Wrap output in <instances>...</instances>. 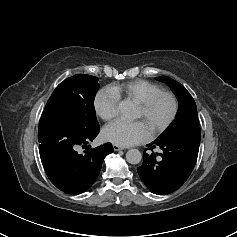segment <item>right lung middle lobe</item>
I'll use <instances>...</instances> for the list:
<instances>
[{"instance_id": "right-lung-middle-lobe-1", "label": "right lung middle lobe", "mask_w": 237, "mask_h": 237, "mask_svg": "<svg viewBox=\"0 0 237 237\" xmlns=\"http://www.w3.org/2000/svg\"><path fill=\"white\" fill-rule=\"evenodd\" d=\"M98 78L77 74L61 82L49 98L40 121L63 124L76 132L99 128L94 99Z\"/></svg>"}]
</instances>
